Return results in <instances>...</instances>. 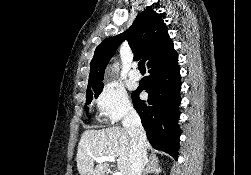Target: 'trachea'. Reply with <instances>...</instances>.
<instances>
[{
  "mask_svg": "<svg viewBox=\"0 0 251 175\" xmlns=\"http://www.w3.org/2000/svg\"><path fill=\"white\" fill-rule=\"evenodd\" d=\"M138 68L140 71H145V63L144 60H140V62L138 63Z\"/></svg>",
  "mask_w": 251,
  "mask_h": 175,
  "instance_id": "trachea-1",
  "label": "trachea"
}]
</instances>
